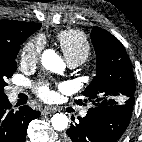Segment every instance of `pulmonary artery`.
<instances>
[{
  "label": "pulmonary artery",
  "instance_id": "obj_1",
  "mask_svg": "<svg viewBox=\"0 0 142 142\" xmlns=\"http://www.w3.org/2000/svg\"><path fill=\"white\" fill-rule=\"evenodd\" d=\"M67 63H68V66L71 67V68H75V67H77L78 65L81 64L80 62H77V61H67ZM20 91H21V89H19V88H12L9 92V100L14 101ZM86 115H87L86 110H82L80 112L81 117H85Z\"/></svg>",
  "mask_w": 142,
  "mask_h": 142
}]
</instances>
